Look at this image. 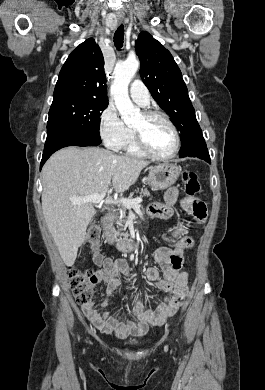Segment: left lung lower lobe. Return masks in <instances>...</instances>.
<instances>
[{
	"label": "left lung lower lobe",
	"instance_id": "left-lung-lower-lobe-1",
	"mask_svg": "<svg viewBox=\"0 0 265 390\" xmlns=\"http://www.w3.org/2000/svg\"><path fill=\"white\" fill-rule=\"evenodd\" d=\"M183 157H197L205 160L208 163L211 162L205 140L199 143L193 150H191Z\"/></svg>",
	"mask_w": 265,
	"mask_h": 390
}]
</instances>
